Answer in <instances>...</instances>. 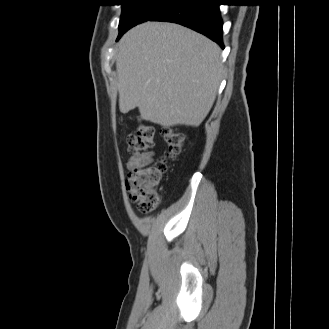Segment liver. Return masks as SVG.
Instances as JSON below:
<instances>
[{
  "mask_svg": "<svg viewBox=\"0 0 329 329\" xmlns=\"http://www.w3.org/2000/svg\"><path fill=\"white\" fill-rule=\"evenodd\" d=\"M119 109L165 127L198 126L221 81L220 48L174 23L146 22L129 30L116 55Z\"/></svg>",
  "mask_w": 329,
  "mask_h": 329,
  "instance_id": "liver-1",
  "label": "liver"
}]
</instances>
